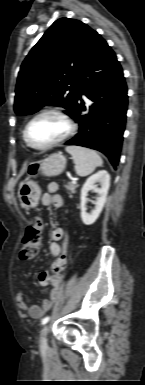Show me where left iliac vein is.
Segmentation results:
<instances>
[{"label": "left iliac vein", "mask_w": 145, "mask_h": 385, "mask_svg": "<svg viewBox=\"0 0 145 385\" xmlns=\"http://www.w3.org/2000/svg\"><path fill=\"white\" fill-rule=\"evenodd\" d=\"M47 333H48V326L45 325L42 328L41 333H40V345L42 347L47 345Z\"/></svg>", "instance_id": "1"}]
</instances>
